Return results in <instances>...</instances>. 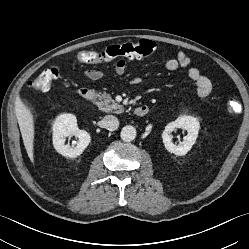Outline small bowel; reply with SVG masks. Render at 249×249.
<instances>
[{"mask_svg":"<svg viewBox=\"0 0 249 249\" xmlns=\"http://www.w3.org/2000/svg\"><path fill=\"white\" fill-rule=\"evenodd\" d=\"M191 59L184 52L177 53L175 58L169 59L165 63V68L169 71H175L180 68H188L187 75L196 86V93L199 98L207 97L212 91V83L208 77L203 75L197 68L190 67ZM126 71V62L119 60L115 66V72L123 75ZM84 76L89 80H98L103 76V72L99 69H86ZM133 82H139V77H134Z\"/></svg>","mask_w":249,"mask_h":249,"instance_id":"1","label":"small bowel"}]
</instances>
